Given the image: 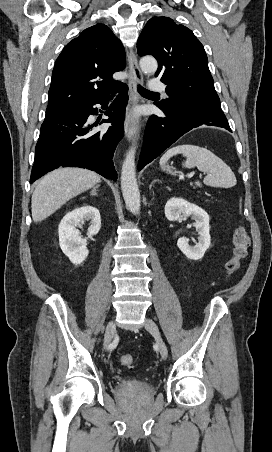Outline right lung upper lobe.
Masks as SVG:
<instances>
[{
    "instance_id": "obj_1",
    "label": "right lung upper lobe",
    "mask_w": 272,
    "mask_h": 452,
    "mask_svg": "<svg viewBox=\"0 0 272 452\" xmlns=\"http://www.w3.org/2000/svg\"><path fill=\"white\" fill-rule=\"evenodd\" d=\"M121 41L104 24L85 29L56 60L46 114L65 113L100 99L122 83L112 78L125 67Z\"/></svg>"
}]
</instances>
